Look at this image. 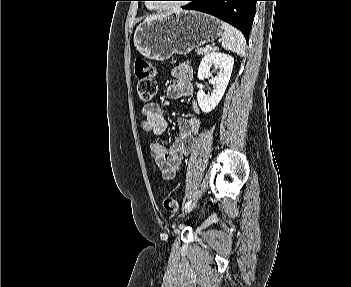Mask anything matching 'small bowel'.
Wrapping results in <instances>:
<instances>
[{
	"instance_id": "1",
	"label": "small bowel",
	"mask_w": 351,
	"mask_h": 287,
	"mask_svg": "<svg viewBox=\"0 0 351 287\" xmlns=\"http://www.w3.org/2000/svg\"><path fill=\"white\" fill-rule=\"evenodd\" d=\"M175 82L167 88V97L180 99L192 97L194 89L191 83L192 70L187 65H180L172 69ZM192 115L187 118H179V135L173 143L167 147L163 143L155 141L150 144L152 158L158 167L161 176L165 180H172L182 166L183 157L189 154L195 146V136L201 126L199 109L192 102L190 104ZM142 129L147 133L161 135L167 128L165 119V107L159 103H150L143 107Z\"/></svg>"
}]
</instances>
